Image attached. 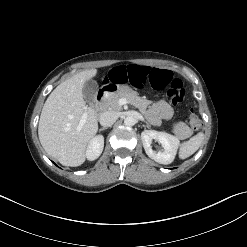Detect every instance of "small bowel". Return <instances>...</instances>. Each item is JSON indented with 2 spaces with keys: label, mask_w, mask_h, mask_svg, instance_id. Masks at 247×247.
Here are the masks:
<instances>
[{
  "label": "small bowel",
  "mask_w": 247,
  "mask_h": 247,
  "mask_svg": "<svg viewBox=\"0 0 247 247\" xmlns=\"http://www.w3.org/2000/svg\"><path fill=\"white\" fill-rule=\"evenodd\" d=\"M139 66V65H138ZM154 112L158 114L163 119H170L173 114L171 106L165 102L160 101L154 106Z\"/></svg>",
  "instance_id": "1"
}]
</instances>
